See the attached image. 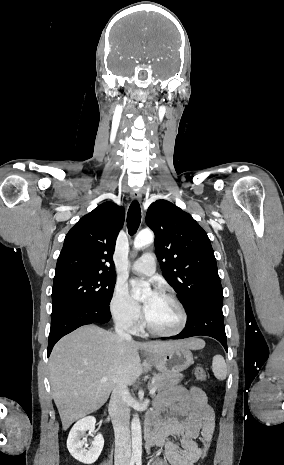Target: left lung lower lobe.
I'll return each instance as SVG.
<instances>
[{
    "instance_id": "1",
    "label": "left lung lower lobe",
    "mask_w": 284,
    "mask_h": 465,
    "mask_svg": "<svg viewBox=\"0 0 284 465\" xmlns=\"http://www.w3.org/2000/svg\"><path fill=\"white\" fill-rule=\"evenodd\" d=\"M187 323L183 331L171 339H183L192 336H210L217 339L227 350L222 304L204 302L187 311Z\"/></svg>"
}]
</instances>
